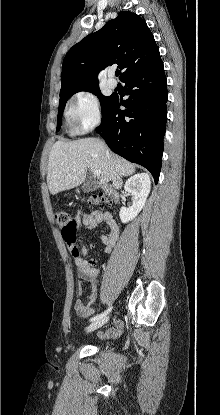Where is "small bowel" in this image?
I'll return each mask as SVG.
<instances>
[{
    "mask_svg": "<svg viewBox=\"0 0 220 415\" xmlns=\"http://www.w3.org/2000/svg\"><path fill=\"white\" fill-rule=\"evenodd\" d=\"M75 232L73 236L63 233L62 237L65 243L70 247L72 254L75 258L77 265V274L80 280L79 285L76 288V294L78 299L75 301L74 308L77 317L87 319L93 313L98 298L97 290V277L98 270L88 260L85 259L87 249L83 242L78 239L77 231L81 227H85L89 230L95 229L99 224L104 223L108 228V234L101 237V241L104 245L105 253H109L112 247L115 245L119 230L118 226L111 213L107 211L91 210L88 212L78 211L74 216ZM89 284L91 287L90 294L86 302L81 297L84 294L83 284ZM122 325L117 322L114 327L107 329L106 331L99 332L98 336L104 339H114L121 335Z\"/></svg>",
    "mask_w": 220,
    "mask_h": 415,
    "instance_id": "small-bowel-1",
    "label": "small bowel"
}]
</instances>
